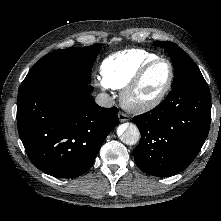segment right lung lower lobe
Wrapping results in <instances>:
<instances>
[{
  "mask_svg": "<svg viewBox=\"0 0 221 221\" xmlns=\"http://www.w3.org/2000/svg\"><path fill=\"white\" fill-rule=\"evenodd\" d=\"M90 84L51 85L18 93L17 124L35 167L59 178L84 174L119 124L118 109L94 102Z\"/></svg>",
  "mask_w": 221,
  "mask_h": 221,
  "instance_id": "obj_1",
  "label": "right lung lower lobe"
}]
</instances>
